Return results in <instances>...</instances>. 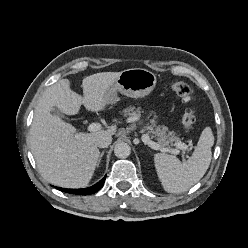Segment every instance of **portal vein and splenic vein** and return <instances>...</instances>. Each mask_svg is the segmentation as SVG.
<instances>
[{"mask_svg": "<svg viewBox=\"0 0 248 248\" xmlns=\"http://www.w3.org/2000/svg\"><path fill=\"white\" fill-rule=\"evenodd\" d=\"M101 128L102 126L100 123H91L87 129L89 132H95V131L101 130ZM142 140L145 144H147L149 147H151L154 150H162L164 152H171L174 155L179 154L180 151L178 149H183V150L187 149V146L184 143L178 144L176 149L161 148V146L158 143L152 141L148 135H143Z\"/></svg>", "mask_w": 248, "mask_h": 248, "instance_id": "18ae733b", "label": "portal vein and splenic vein"}]
</instances>
